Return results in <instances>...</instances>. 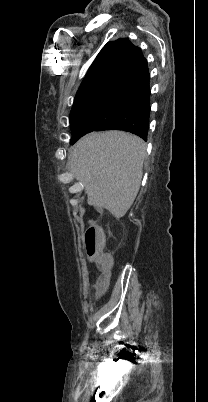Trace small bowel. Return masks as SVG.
<instances>
[{"instance_id":"1","label":"small bowel","mask_w":208,"mask_h":402,"mask_svg":"<svg viewBox=\"0 0 208 402\" xmlns=\"http://www.w3.org/2000/svg\"><path fill=\"white\" fill-rule=\"evenodd\" d=\"M105 256H110V255H108V254H105Z\"/></svg>"}]
</instances>
